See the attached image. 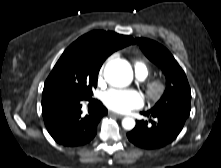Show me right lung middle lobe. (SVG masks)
I'll return each instance as SVG.
<instances>
[{
    "label": "right lung middle lobe",
    "mask_w": 221,
    "mask_h": 168,
    "mask_svg": "<svg viewBox=\"0 0 221 168\" xmlns=\"http://www.w3.org/2000/svg\"><path fill=\"white\" fill-rule=\"evenodd\" d=\"M103 60L87 52L69 51L62 54L43 89V94L61 93L77 98H90L97 86Z\"/></svg>",
    "instance_id": "right-lung-middle-lobe-1"
}]
</instances>
